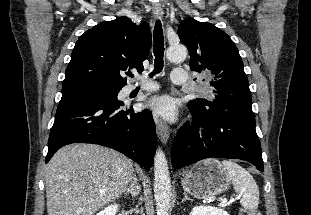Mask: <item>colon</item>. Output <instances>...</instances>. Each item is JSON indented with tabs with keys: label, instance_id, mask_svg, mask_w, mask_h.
Here are the masks:
<instances>
[{
	"label": "colon",
	"instance_id": "colon-1",
	"mask_svg": "<svg viewBox=\"0 0 311 215\" xmlns=\"http://www.w3.org/2000/svg\"><path fill=\"white\" fill-rule=\"evenodd\" d=\"M240 215H261V213L255 210H243Z\"/></svg>",
	"mask_w": 311,
	"mask_h": 215
}]
</instances>
